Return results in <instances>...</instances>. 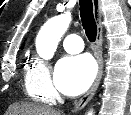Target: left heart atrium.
Wrapping results in <instances>:
<instances>
[{
  "label": "left heart atrium",
  "mask_w": 131,
  "mask_h": 115,
  "mask_svg": "<svg viewBox=\"0 0 131 115\" xmlns=\"http://www.w3.org/2000/svg\"><path fill=\"white\" fill-rule=\"evenodd\" d=\"M95 72V64L89 56H65L56 66L55 84L63 94L77 96L90 86Z\"/></svg>",
  "instance_id": "1"
}]
</instances>
